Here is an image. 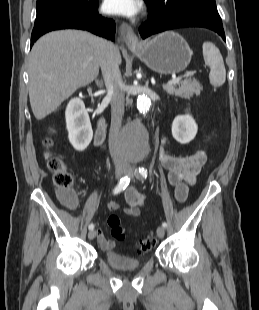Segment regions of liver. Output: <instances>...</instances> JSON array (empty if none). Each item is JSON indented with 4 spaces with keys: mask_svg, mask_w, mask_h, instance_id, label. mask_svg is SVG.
<instances>
[{
    "mask_svg": "<svg viewBox=\"0 0 259 310\" xmlns=\"http://www.w3.org/2000/svg\"><path fill=\"white\" fill-rule=\"evenodd\" d=\"M109 42L85 31L61 30L41 37L28 65L29 98L33 114L42 120L77 89L97 77ZM114 55L121 63L115 47Z\"/></svg>",
    "mask_w": 259,
    "mask_h": 310,
    "instance_id": "obj_1",
    "label": "liver"
}]
</instances>
